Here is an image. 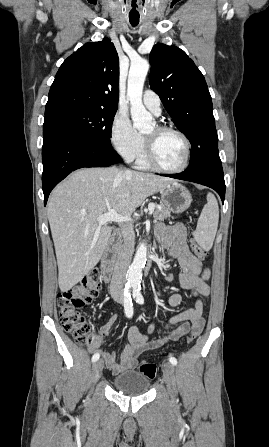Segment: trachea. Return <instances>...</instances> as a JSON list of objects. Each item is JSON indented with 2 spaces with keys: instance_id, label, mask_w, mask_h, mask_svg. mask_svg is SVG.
Instances as JSON below:
<instances>
[{
  "instance_id": "3493384b",
  "label": "trachea",
  "mask_w": 269,
  "mask_h": 447,
  "mask_svg": "<svg viewBox=\"0 0 269 447\" xmlns=\"http://www.w3.org/2000/svg\"><path fill=\"white\" fill-rule=\"evenodd\" d=\"M131 23V25H137L139 22H130Z\"/></svg>"
}]
</instances>
